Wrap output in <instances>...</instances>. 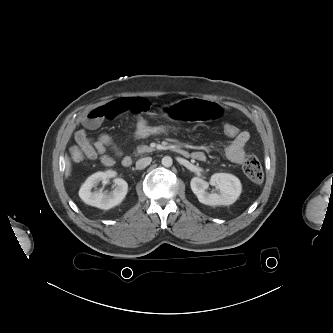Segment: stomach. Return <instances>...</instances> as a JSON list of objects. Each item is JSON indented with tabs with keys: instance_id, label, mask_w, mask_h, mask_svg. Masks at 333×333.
Instances as JSON below:
<instances>
[{
	"instance_id": "stomach-1",
	"label": "stomach",
	"mask_w": 333,
	"mask_h": 333,
	"mask_svg": "<svg viewBox=\"0 0 333 333\" xmlns=\"http://www.w3.org/2000/svg\"><path fill=\"white\" fill-rule=\"evenodd\" d=\"M171 111L168 116L159 118H172L174 121L182 123L186 120L197 119L198 121H208L228 123L233 118V111L228 106H219L213 102H206L203 98H196L193 101L182 99L176 104L169 103ZM157 113V111H156Z\"/></svg>"
}]
</instances>
